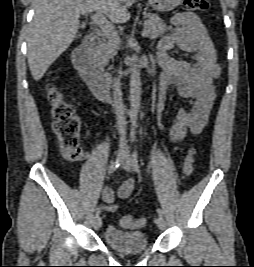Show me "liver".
Returning a JSON list of instances; mask_svg holds the SVG:
<instances>
[{
    "instance_id": "1",
    "label": "liver",
    "mask_w": 254,
    "mask_h": 267,
    "mask_svg": "<svg viewBox=\"0 0 254 267\" xmlns=\"http://www.w3.org/2000/svg\"><path fill=\"white\" fill-rule=\"evenodd\" d=\"M137 0H35L27 56L31 75L39 81L79 34L80 14L100 12L113 23H126Z\"/></svg>"
}]
</instances>
